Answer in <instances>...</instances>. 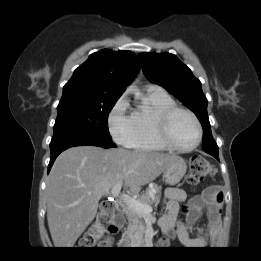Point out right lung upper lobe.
<instances>
[{
    "label": "right lung upper lobe",
    "mask_w": 261,
    "mask_h": 261,
    "mask_svg": "<svg viewBox=\"0 0 261 261\" xmlns=\"http://www.w3.org/2000/svg\"><path fill=\"white\" fill-rule=\"evenodd\" d=\"M138 68V59L131 51L103 49L74 71L63 96H121Z\"/></svg>",
    "instance_id": "right-lung-upper-lobe-1"
}]
</instances>
